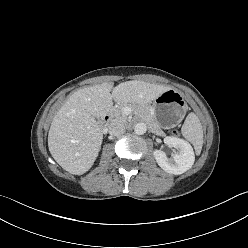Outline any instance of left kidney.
I'll use <instances>...</instances> for the list:
<instances>
[{
	"instance_id": "left-kidney-1",
	"label": "left kidney",
	"mask_w": 248,
	"mask_h": 248,
	"mask_svg": "<svg viewBox=\"0 0 248 248\" xmlns=\"http://www.w3.org/2000/svg\"><path fill=\"white\" fill-rule=\"evenodd\" d=\"M164 142L177 150L168 158L161 150L154 151V157L158 165L166 172L180 175L189 170L195 161V155L191 145L183 139L177 137H166Z\"/></svg>"
}]
</instances>
